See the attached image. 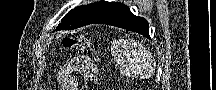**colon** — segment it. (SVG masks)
<instances>
[{
    "label": "colon",
    "mask_w": 216,
    "mask_h": 90,
    "mask_svg": "<svg viewBox=\"0 0 216 90\" xmlns=\"http://www.w3.org/2000/svg\"><path fill=\"white\" fill-rule=\"evenodd\" d=\"M61 42L63 45L71 47V46H83L84 45V39L77 38V37H61Z\"/></svg>",
    "instance_id": "5ec220e1"
}]
</instances>
